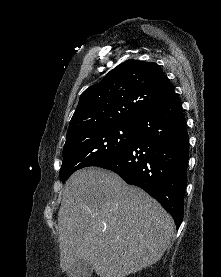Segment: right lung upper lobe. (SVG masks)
<instances>
[{
  "instance_id": "1",
  "label": "right lung upper lobe",
  "mask_w": 221,
  "mask_h": 277,
  "mask_svg": "<svg viewBox=\"0 0 221 277\" xmlns=\"http://www.w3.org/2000/svg\"><path fill=\"white\" fill-rule=\"evenodd\" d=\"M174 93L156 63L125 61L81 94L66 139L96 126L134 123Z\"/></svg>"
}]
</instances>
